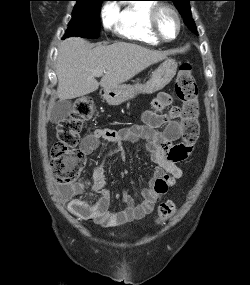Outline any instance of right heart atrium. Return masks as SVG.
I'll use <instances>...</instances> for the list:
<instances>
[{
	"mask_svg": "<svg viewBox=\"0 0 250 285\" xmlns=\"http://www.w3.org/2000/svg\"><path fill=\"white\" fill-rule=\"evenodd\" d=\"M119 10L116 4H106L101 11L102 22L105 28L111 29L117 24Z\"/></svg>",
	"mask_w": 250,
	"mask_h": 285,
	"instance_id": "d8ad5b80",
	"label": "right heart atrium"
}]
</instances>
